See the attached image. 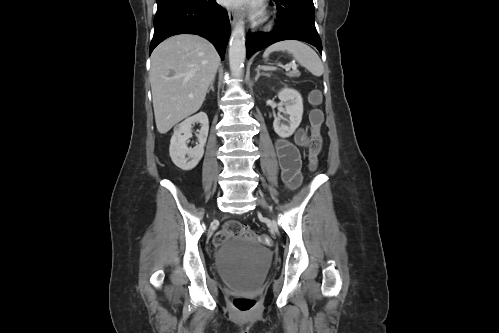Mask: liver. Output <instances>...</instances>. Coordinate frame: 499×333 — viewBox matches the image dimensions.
I'll list each match as a JSON object with an SVG mask.
<instances>
[{"label": "liver", "mask_w": 499, "mask_h": 333, "mask_svg": "<svg viewBox=\"0 0 499 333\" xmlns=\"http://www.w3.org/2000/svg\"><path fill=\"white\" fill-rule=\"evenodd\" d=\"M219 63L214 46L197 35H175L154 49L149 78L159 133L200 109Z\"/></svg>", "instance_id": "6515ba94"}]
</instances>
